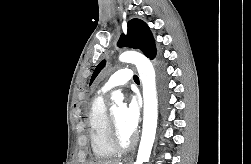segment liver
<instances>
[{"label": "liver", "instance_id": "6515ba94", "mask_svg": "<svg viewBox=\"0 0 251 164\" xmlns=\"http://www.w3.org/2000/svg\"><path fill=\"white\" fill-rule=\"evenodd\" d=\"M90 164H122V162L118 160H113V161H99V162L90 163Z\"/></svg>", "mask_w": 251, "mask_h": 164}]
</instances>
